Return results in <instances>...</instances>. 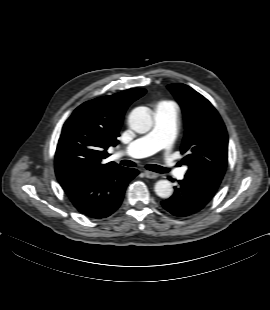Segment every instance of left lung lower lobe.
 Listing matches in <instances>:
<instances>
[{"label": "left lung lower lobe", "mask_w": 270, "mask_h": 310, "mask_svg": "<svg viewBox=\"0 0 270 310\" xmlns=\"http://www.w3.org/2000/svg\"><path fill=\"white\" fill-rule=\"evenodd\" d=\"M221 180L203 178L186 174L178 181L174 194L162 201L163 207L171 214L186 217L201 211L212 199L220 186Z\"/></svg>", "instance_id": "1"}]
</instances>
